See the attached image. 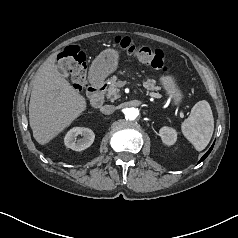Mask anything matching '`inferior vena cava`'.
Masks as SVG:
<instances>
[{
    "mask_svg": "<svg viewBox=\"0 0 238 238\" xmlns=\"http://www.w3.org/2000/svg\"><path fill=\"white\" fill-rule=\"evenodd\" d=\"M115 110L116 107L114 105H104L100 108V111L106 115L112 114Z\"/></svg>",
    "mask_w": 238,
    "mask_h": 238,
    "instance_id": "602c4592",
    "label": "inferior vena cava"
}]
</instances>
